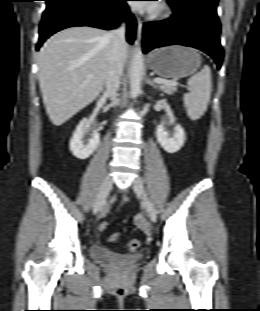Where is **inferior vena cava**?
Wrapping results in <instances>:
<instances>
[{
    "label": "inferior vena cava",
    "instance_id": "obj_1",
    "mask_svg": "<svg viewBox=\"0 0 260 311\" xmlns=\"http://www.w3.org/2000/svg\"><path fill=\"white\" fill-rule=\"evenodd\" d=\"M111 40V49L108 56V69L105 80L106 90L104 95L117 105V91L120 86V79L125 61L126 40L123 28L107 32Z\"/></svg>",
    "mask_w": 260,
    "mask_h": 311
}]
</instances>
